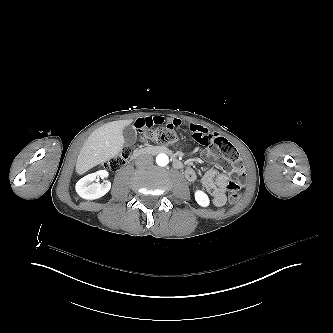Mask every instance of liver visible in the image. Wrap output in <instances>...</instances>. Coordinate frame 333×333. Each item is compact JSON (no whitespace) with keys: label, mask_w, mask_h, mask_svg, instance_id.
Returning a JSON list of instances; mask_svg holds the SVG:
<instances>
[{"label":"liver","mask_w":333,"mask_h":333,"mask_svg":"<svg viewBox=\"0 0 333 333\" xmlns=\"http://www.w3.org/2000/svg\"><path fill=\"white\" fill-rule=\"evenodd\" d=\"M134 122V119L116 120L95 129L78 154L75 165L77 175H83L118 156L125 145L123 129Z\"/></svg>","instance_id":"6515ba94"}]
</instances>
